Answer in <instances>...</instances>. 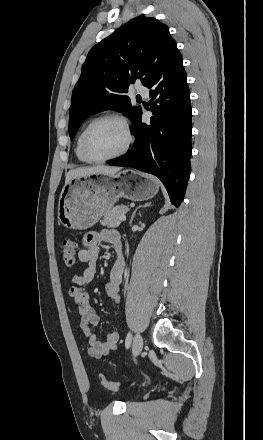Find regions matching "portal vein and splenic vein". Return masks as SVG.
<instances>
[{"label":"portal vein and splenic vein","mask_w":263,"mask_h":440,"mask_svg":"<svg viewBox=\"0 0 263 440\" xmlns=\"http://www.w3.org/2000/svg\"><path fill=\"white\" fill-rule=\"evenodd\" d=\"M119 218H120L121 221H125L126 220V216L124 214L120 215Z\"/></svg>","instance_id":"obj_1"}]
</instances>
